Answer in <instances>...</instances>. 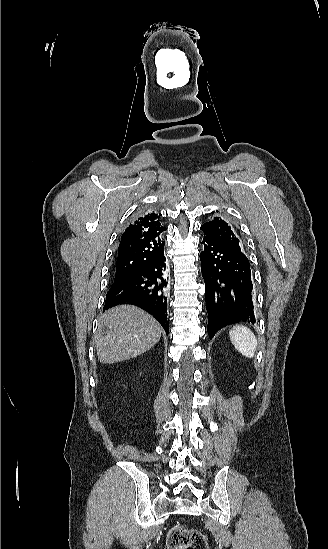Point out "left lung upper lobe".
I'll use <instances>...</instances> for the list:
<instances>
[{
	"instance_id": "left-lung-upper-lobe-1",
	"label": "left lung upper lobe",
	"mask_w": 328,
	"mask_h": 549,
	"mask_svg": "<svg viewBox=\"0 0 328 549\" xmlns=\"http://www.w3.org/2000/svg\"><path fill=\"white\" fill-rule=\"evenodd\" d=\"M201 230H203L205 236L241 251L239 239L233 228L223 219L214 217L211 221L202 225Z\"/></svg>"
}]
</instances>
